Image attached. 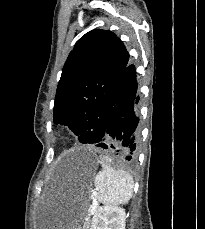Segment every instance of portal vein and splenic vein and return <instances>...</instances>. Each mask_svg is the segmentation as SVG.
Segmentation results:
<instances>
[{
    "label": "portal vein and splenic vein",
    "mask_w": 205,
    "mask_h": 229,
    "mask_svg": "<svg viewBox=\"0 0 205 229\" xmlns=\"http://www.w3.org/2000/svg\"><path fill=\"white\" fill-rule=\"evenodd\" d=\"M97 205H98V202L96 200H94L93 203H92L89 215H92L95 212Z\"/></svg>",
    "instance_id": "1"
}]
</instances>
